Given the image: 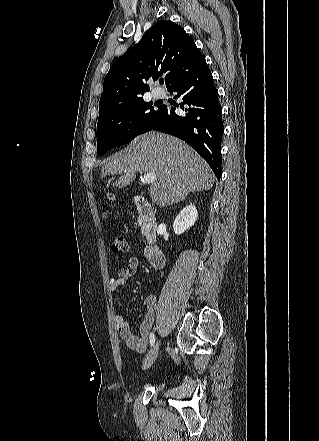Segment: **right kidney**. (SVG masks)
Listing matches in <instances>:
<instances>
[{"mask_svg": "<svg viewBox=\"0 0 319 441\" xmlns=\"http://www.w3.org/2000/svg\"><path fill=\"white\" fill-rule=\"evenodd\" d=\"M198 217L197 209L194 205L189 204L177 215L173 223L175 234L180 235L185 230L192 227Z\"/></svg>", "mask_w": 319, "mask_h": 441, "instance_id": "right-kidney-1", "label": "right kidney"}]
</instances>
